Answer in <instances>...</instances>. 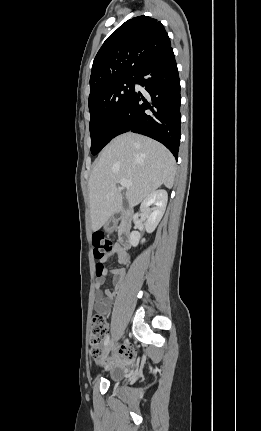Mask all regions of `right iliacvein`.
<instances>
[{
  "mask_svg": "<svg viewBox=\"0 0 261 431\" xmlns=\"http://www.w3.org/2000/svg\"><path fill=\"white\" fill-rule=\"evenodd\" d=\"M113 346H114L113 340L109 341V343L107 344V346L105 347V349H104V351L102 353V356H101V358L99 360V363L103 362L104 358L109 354V352L113 348Z\"/></svg>",
  "mask_w": 261,
  "mask_h": 431,
  "instance_id": "right-iliac-vein-1",
  "label": "right iliac vein"
}]
</instances>
